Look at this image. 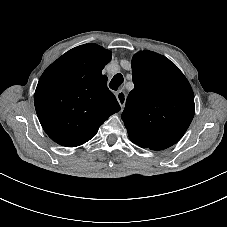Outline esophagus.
Masks as SVG:
<instances>
[{"label": "esophagus", "mask_w": 227, "mask_h": 227, "mask_svg": "<svg viewBox=\"0 0 227 227\" xmlns=\"http://www.w3.org/2000/svg\"><path fill=\"white\" fill-rule=\"evenodd\" d=\"M116 98L120 104L121 109L123 110L126 103V98H127L126 93L123 90H120L117 92Z\"/></svg>", "instance_id": "esophagus-1"}]
</instances>
